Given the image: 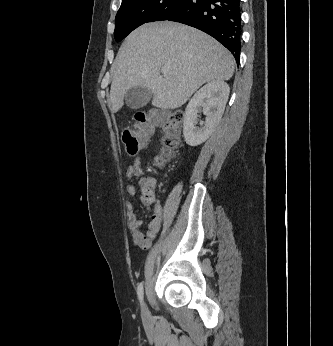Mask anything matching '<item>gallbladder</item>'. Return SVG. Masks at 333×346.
Here are the masks:
<instances>
[{
  "mask_svg": "<svg viewBox=\"0 0 333 346\" xmlns=\"http://www.w3.org/2000/svg\"><path fill=\"white\" fill-rule=\"evenodd\" d=\"M151 98L152 90L141 86L130 88L124 95L125 103L131 109L144 107Z\"/></svg>",
  "mask_w": 333,
  "mask_h": 346,
  "instance_id": "obj_1",
  "label": "gallbladder"
}]
</instances>
